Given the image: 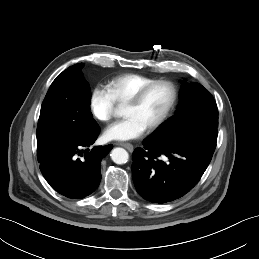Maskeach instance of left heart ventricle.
I'll return each mask as SVG.
<instances>
[{
  "label": "left heart ventricle",
  "instance_id": "1",
  "mask_svg": "<svg viewBox=\"0 0 259 259\" xmlns=\"http://www.w3.org/2000/svg\"><path fill=\"white\" fill-rule=\"evenodd\" d=\"M171 97L165 85L153 87L137 106H125L124 116L136 118L146 128L154 123L164 112Z\"/></svg>",
  "mask_w": 259,
  "mask_h": 259
}]
</instances>
